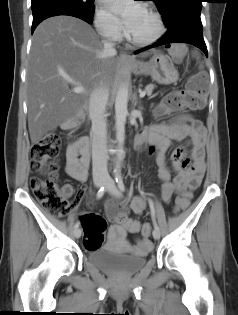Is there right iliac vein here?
<instances>
[{
	"instance_id": "1",
	"label": "right iliac vein",
	"mask_w": 238,
	"mask_h": 315,
	"mask_svg": "<svg viewBox=\"0 0 238 315\" xmlns=\"http://www.w3.org/2000/svg\"><path fill=\"white\" fill-rule=\"evenodd\" d=\"M94 184H95L96 187H101L104 184V180L103 179H96L94 181ZM74 236L76 238H79L81 236V229L80 228H76L74 230Z\"/></svg>"
}]
</instances>
